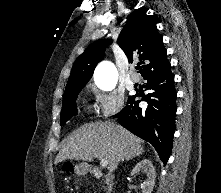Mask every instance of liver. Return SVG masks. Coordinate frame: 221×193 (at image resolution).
<instances>
[{"label": "liver", "mask_w": 221, "mask_h": 193, "mask_svg": "<svg viewBox=\"0 0 221 193\" xmlns=\"http://www.w3.org/2000/svg\"><path fill=\"white\" fill-rule=\"evenodd\" d=\"M141 140L111 122H91L82 125L63 144L55 158V164L67 159L93 162L95 158L108 161L113 172L120 161L141 155Z\"/></svg>", "instance_id": "6515ba94"}]
</instances>
